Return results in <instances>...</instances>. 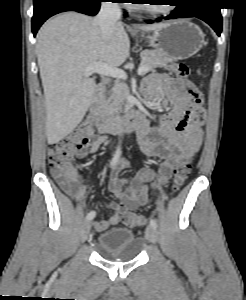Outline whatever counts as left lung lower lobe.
Masks as SVG:
<instances>
[{
  "instance_id": "0a47b994",
  "label": "left lung lower lobe",
  "mask_w": 246,
  "mask_h": 300,
  "mask_svg": "<svg viewBox=\"0 0 246 300\" xmlns=\"http://www.w3.org/2000/svg\"><path fill=\"white\" fill-rule=\"evenodd\" d=\"M217 0H184L175 10L164 19L180 17H197L208 23L220 36L222 31V16ZM151 23V22H148Z\"/></svg>"
}]
</instances>
